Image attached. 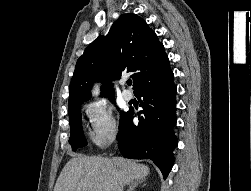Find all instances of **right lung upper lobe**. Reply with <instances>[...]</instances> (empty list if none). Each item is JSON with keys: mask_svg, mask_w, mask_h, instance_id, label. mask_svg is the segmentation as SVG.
I'll return each mask as SVG.
<instances>
[{"mask_svg": "<svg viewBox=\"0 0 251 191\" xmlns=\"http://www.w3.org/2000/svg\"><path fill=\"white\" fill-rule=\"evenodd\" d=\"M132 73L134 93L161 81L172 71L164 46L148 24L135 14H123L107 36L93 41L79 57L70 83L68 108L91 97L94 82H101L102 96L114 99L111 80Z\"/></svg>", "mask_w": 251, "mask_h": 191, "instance_id": "cb5924a9", "label": "right lung upper lobe"}]
</instances>
